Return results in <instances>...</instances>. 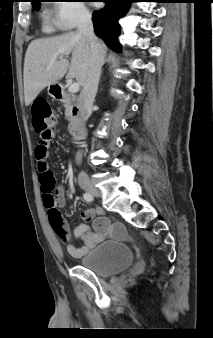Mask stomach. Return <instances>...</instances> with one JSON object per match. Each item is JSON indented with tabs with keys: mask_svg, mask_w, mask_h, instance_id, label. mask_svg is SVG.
<instances>
[{
	"mask_svg": "<svg viewBox=\"0 0 213 338\" xmlns=\"http://www.w3.org/2000/svg\"><path fill=\"white\" fill-rule=\"evenodd\" d=\"M58 85L57 84H53V85H50L48 86V92L50 95H54L53 92L55 89H57Z\"/></svg>",
	"mask_w": 213,
	"mask_h": 338,
	"instance_id": "obj_1",
	"label": "stomach"
}]
</instances>
